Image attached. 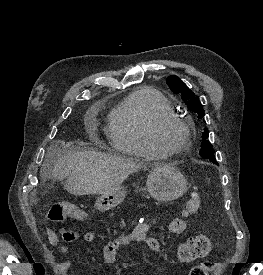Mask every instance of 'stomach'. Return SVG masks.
Listing matches in <instances>:
<instances>
[{
    "label": "stomach",
    "mask_w": 263,
    "mask_h": 275,
    "mask_svg": "<svg viewBox=\"0 0 263 275\" xmlns=\"http://www.w3.org/2000/svg\"><path fill=\"white\" fill-rule=\"evenodd\" d=\"M147 191L158 201H173L187 190L184 175L175 167L164 165L155 167L147 179ZM126 196L124 186L103 194L97 199L95 206L100 211H106L119 205Z\"/></svg>",
    "instance_id": "stomach-1"
}]
</instances>
